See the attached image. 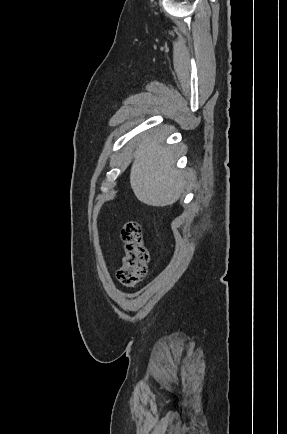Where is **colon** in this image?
I'll return each mask as SVG.
<instances>
[{"label":"colon","instance_id":"5ec220e1","mask_svg":"<svg viewBox=\"0 0 287 434\" xmlns=\"http://www.w3.org/2000/svg\"><path fill=\"white\" fill-rule=\"evenodd\" d=\"M121 238L123 257L117 276L123 286L132 287L147 274L149 252L137 221H128L123 225Z\"/></svg>","mask_w":287,"mask_h":434}]
</instances>
